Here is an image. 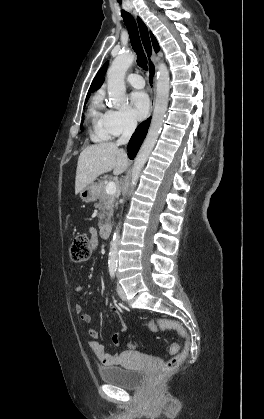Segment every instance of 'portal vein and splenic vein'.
<instances>
[{"label":"portal vein and splenic vein","instance_id":"1","mask_svg":"<svg viewBox=\"0 0 264 419\" xmlns=\"http://www.w3.org/2000/svg\"><path fill=\"white\" fill-rule=\"evenodd\" d=\"M106 193L109 195L115 194L116 193V184L115 182H108L106 185V189H105Z\"/></svg>","mask_w":264,"mask_h":419}]
</instances>
